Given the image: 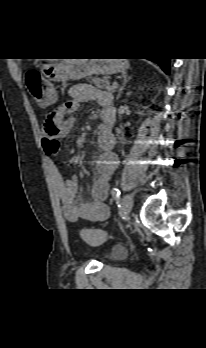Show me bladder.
Wrapping results in <instances>:
<instances>
[{
	"label": "bladder",
	"mask_w": 206,
	"mask_h": 348,
	"mask_svg": "<svg viewBox=\"0 0 206 348\" xmlns=\"http://www.w3.org/2000/svg\"><path fill=\"white\" fill-rule=\"evenodd\" d=\"M127 255L126 249L122 247L112 248L106 255L108 261H116L123 259Z\"/></svg>",
	"instance_id": "obj_1"
}]
</instances>
